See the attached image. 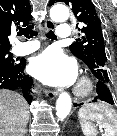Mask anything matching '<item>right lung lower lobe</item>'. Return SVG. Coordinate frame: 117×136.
I'll return each mask as SVG.
<instances>
[{"instance_id": "1", "label": "right lung lower lobe", "mask_w": 117, "mask_h": 136, "mask_svg": "<svg viewBox=\"0 0 117 136\" xmlns=\"http://www.w3.org/2000/svg\"><path fill=\"white\" fill-rule=\"evenodd\" d=\"M25 65L24 59L11 66L0 65V89L20 90L30 104L33 99L30 90L32 78L24 73Z\"/></svg>"}]
</instances>
